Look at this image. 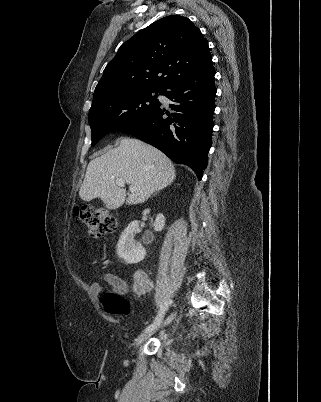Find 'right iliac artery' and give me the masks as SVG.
<instances>
[{"mask_svg": "<svg viewBox=\"0 0 321 402\" xmlns=\"http://www.w3.org/2000/svg\"><path fill=\"white\" fill-rule=\"evenodd\" d=\"M172 303V300L166 301L162 304H160V308L157 314V317L155 318L154 322L149 325L148 327H146V329L144 330L145 332L147 331H153L154 329H156L160 323L162 322V319L164 317L165 311L168 309V306Z\"/></svg>", "mask_w": 321, "mask_h": 402, "instance_id": "obj_1", "label": "right iliac artery"}]
</instances>
